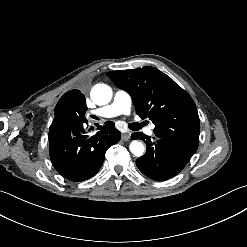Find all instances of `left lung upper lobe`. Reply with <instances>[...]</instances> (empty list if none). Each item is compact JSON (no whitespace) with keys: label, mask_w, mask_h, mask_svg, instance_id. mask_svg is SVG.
Segmentation results:
<instances>
[{"label":"left lung upper lobe","mask_w":247,"mask_h":247,"mask_svg":"<svg viewBox=\"0 0 247 247\" xmlns=\"http://www.w3.org/2000/svg\"><path fill=\"white\" fill-rule=\"evenodd\" d=\"M107 75L131 95L136 113L155 124L157 137L197 150L200 121L196 105L170 77L154 67L112 71Z\"/></svg>","instance_id":"obj_1"}]
</instances>
